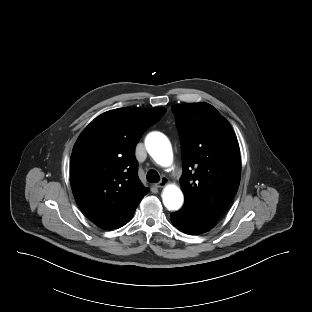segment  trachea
<instances>
[{
    "label": "trachea",
    "instance_id": "1",
    "mask_svg": "<svg viewBox=\"0 0 312 312\" xmlns=\"http://www.w3.org/2000/svg\"><path fill=\"white\" fill-rule=\"evenodd\" d=\"M159 180H160V176L157 173V171H155L153 169L148 171V173H147V181L148 182L156 183V182H159Z\"/></svg>",
    "mask_w": 312,
    "mask_h": 312
}]
</instances>
